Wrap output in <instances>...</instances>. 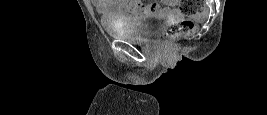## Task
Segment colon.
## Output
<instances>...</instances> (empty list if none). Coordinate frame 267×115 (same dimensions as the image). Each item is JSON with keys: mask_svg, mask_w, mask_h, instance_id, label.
<instances>
[{"mask_svg": "<svg viewBox=\"0 0 267 115\" xmlns=\"http://www.w3.org/2000/svg\"><path fill=\"white\" fill-rule=\"evenodd\" d=\"M180 9L186 15L196 14L202 9V3L200 0H182L180 1ZM194 29V22L190 19H184L167 26L161 35V39L165 42H171L181 36L192 33Z\"/></svg>", "mask_w": 267, "mask_h": 115, "instance_id": "5ec220e1", "label": "colon"}]
</instances>
